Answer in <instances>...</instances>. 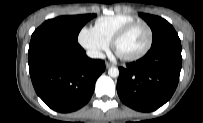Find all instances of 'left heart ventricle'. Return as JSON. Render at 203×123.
<instances>
[{"instance_id": "left-heart-ventricle-1", "label": "left heart ventricle", "mask_w": 203, "mask_h": 123, "mask_svg": "<svg viewBox=\"0 0 203 123\" xmlns=\"http://www.w3.org/2000/svg\"><path fill=\"white\" fill-rule=\"evenodd\" d=\"M148 41V32L143 25L134 27L117 45V51L124 56H131L142 51Z\"/></svg>"}]
</instances>
